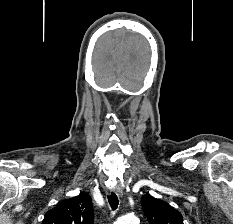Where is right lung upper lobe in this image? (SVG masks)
<instances>
[{
  "mask_svg": "<svg viewBox=\"0 0 233 224\" xmlns=\"http://www.w3.org/2000/svg\"><path fill=\"white\" fill-rule=\"evenodd\" d=\"M94 212L91 197L81 193L63 200L49 210L42 224H93Z\"/></svg>",
  "mask_w": 233,
  "mask_h": 224,
  "instance_id": "1",
  "label": "right lung upper lobe"
}]
</instances>
